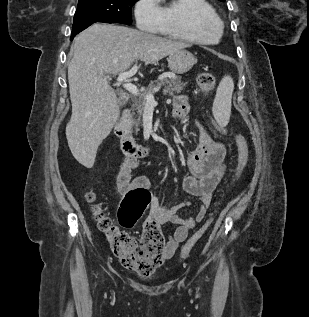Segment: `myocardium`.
I'll use <instances>...</instances> for the list:
<instances>
[{
  "label": "myocardium",
  "instance_id": "myocardium-1",
  "mask_svg": "<svg viewBox=\"0 0 309 317\" xmlns=\"http://www.w3.org/2000/svg\"><path fill=\"white\" fill-rule=\"evenodd\" d=\"M194 26L196 29L200 31H204V30L212 29L214 26V22L207 16L199 15L194 20ZM221 29H222V23H221Z\"/></svg>",
  "mask_w": 309,
  "mask_h": 317
}]
</instances>
